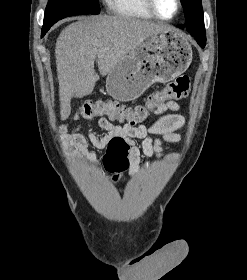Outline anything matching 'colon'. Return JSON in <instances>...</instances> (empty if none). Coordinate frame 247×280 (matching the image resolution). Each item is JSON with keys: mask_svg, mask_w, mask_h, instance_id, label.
Here are the masks:
<instances>
[{"mask_svg": "<svg viewBox=\"0 0 247 280\" xmlns=\"http://www.w3.org/2000/svg\"><path fill=\"white\" fill-rule=\"evenodd\" d=\"M190 93V79L181 75L171 81L162 90L152 92L143 104L135 106L122 105L115 101H86L77 113V118L91 120L106 116L129 125H137L145 121L149 115L171 100L185 98ZM129 145L122 139H114L108 145L103 158L104 168L117 179L130 165Z\"/></svg>", "mask_w": 247, "mask_h": 280, "instance_id": "obj_1", "label": "colon"}]
</instances>
